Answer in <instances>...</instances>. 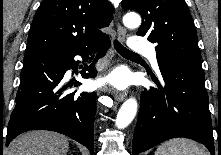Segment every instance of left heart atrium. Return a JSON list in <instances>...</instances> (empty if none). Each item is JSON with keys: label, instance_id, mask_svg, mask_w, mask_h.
Here are the masks:
<instances>
[{"label": "left heart atrium", "instance_id": "1", "mask_svg": "<svg viewBox=\"0 0 221 155\" xmlns=\"http://www.w3.org/2000/svg\"><path fill=\"white\" fill-rule=\"evenodd\" d=\"M104 82H108L116 88H124L128 83L126 73L120 70L113 71L105 79Z\"/></svg>", "mask_w": 221, "mask_h": 155}]
</instances>
